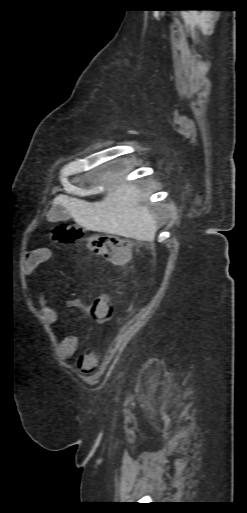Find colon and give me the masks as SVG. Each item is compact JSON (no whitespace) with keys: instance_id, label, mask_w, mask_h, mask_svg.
Masks as SVG:
<instances>
[{"instance_id":"1","label":"colon","mask_w":247,"mask_h":513,"mask_svg":"<svg viewBox=\"0 0 247 513\" xmlns=\"http://www.w3.org/2000/svg\"><path fill=\"white\" fill-rule=\"evenodd\" d=\"M53 237L61 242L69 243L85 240L88 247L106 258L112 266L128 268L133 261V250L128 240L109 234L87 236L83 229L70 223H62L53 229ZM90 313L94 324L99 328L106 327L113 313L111 300L102 296L90 304Z\"/></svg>"}]
</instances>
